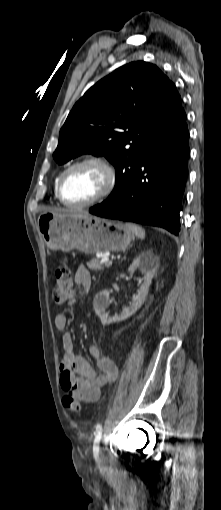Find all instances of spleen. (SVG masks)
I'll use <instances>...</instances> for the list:
<instances>
[{"instance_id": "spleen-1", "label": "spleen", "mask_w": 221, "mask_h": 510, "mask_svg": "<svg viewBox=\"0 0 221 510\" xmlns=\"http://www.w3.org/2000/svg\"><path fill=\"white\" fill-rule=\"evenodd\" d=\"M125 226L132 232L134 233L138 238L140 239H144L145 238V230L137 225V224H134V223H126Z\"/></svg>"}]
</instances>
